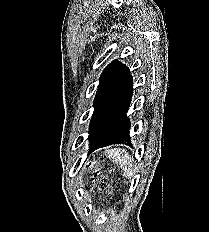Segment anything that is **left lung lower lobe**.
<instances>
[{"label": "left lung lower lobe", "mask_w": 209, "mask_h": 232, "mask_svg": "<svg viewBox=\"0 0 209 232\" xmlns=\"http://www.w3.org/2000/svg\"><path fill=\"white\" fill-rule=\"evenodd\" d=\"M133 80L130 72L109 98L94 106L89 126L90 151L112 144H131L130 121L126 115L130 106Z\"/></svg>", "instance_id": "0a47b994"}]
</instances>
